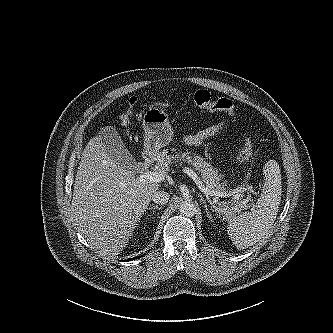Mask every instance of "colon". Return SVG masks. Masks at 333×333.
Segmentation results:
<instances>
[{
  "mask_svg": "<svg viewBox=\"0 0 333 333\" xmlns=\"http://www.w3.org/2000/svg\"><path fill=\"white\" fill-rule=\"evenodd\" d=\"M191 99L195 106L209 110V111H220L225 112L230 115H235V108L233 103L223 97H213L206 90H196L191 93ZM130 112H127L123 115L122 121L124 123L128 122ZM253 156V140L251 136L246 137L243 140L241 148L239 150V160L242 163H248Z\"/></svg>",
  "mask_w": 333,
  "mask_h": 333,
  "instance_id": "colon-1",
  "label": "colon"
}]
</instances>
